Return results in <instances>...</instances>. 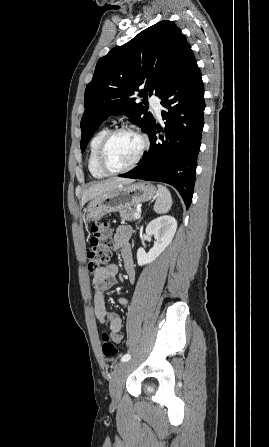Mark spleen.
<instances>
[{"mask_svg": "<svg viewBox=\"0 0 269 447\" xmlns=\"http://www.w3.org/2000/svg\"><path fill=\"white\" fill-rule=\"evenodd\" d=\"M157 188L159 196L154 204V212H157V214H166L172 206L171 194L165 186L158 184Z\"/></svg>", "mask_w": 269, "mask_h": 447, "instance_id": "spleen-1", "label": "spleen"}]
</instances>
